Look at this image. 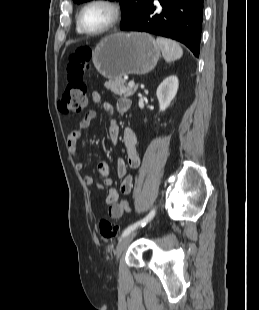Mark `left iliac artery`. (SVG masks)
Wrapping results in <instances>:
<instances>
[{
	"label": "left iliac artery",
	"instance_id": "44dca946",
	"mask_svg": "<svg viewBox=\"0 0 259 310\" xmlns=\"http://www.w3.org/2000/svg\"><path fill=\"white\" fill-rule=\"evenodd\" d=\"M155 215V209H152L150 211V213L143 219L131 224L130 226H128L122 233V237L128 235L129 233H131L133 230H135L138 226H145L149 221H151L153 219Z\"/></svg>",
	"mask_w": 259,
	"mask_h": 310
}]
</instances>
